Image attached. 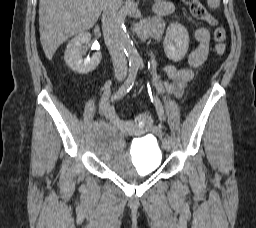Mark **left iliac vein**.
<instances>
[{
  "instance_id": "obj_1",
  "label": "left iliac vein",
  "mask_w": 256,
  "mask_h": 228,
  "mask_svg": "<svg viewBox=\"0 0 256 228\" xmlns=\"http://www.w3.org/2000/svg\"><path fill=\"white\" fill-rule=\"evenodd\" d=\"M162 143H163V146L164 148L169 151L172 147V141L171 139H169L168 137H164L163 140H162Z\"/></svg>"
}]
</instances>
